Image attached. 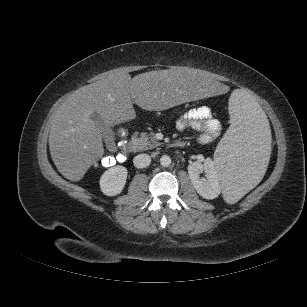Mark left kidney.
<instances>
[{"label": "left kidney", "instance_id": "left-kidney-1", "mask_svg": "<svg viewBox=\"0 0 307 307\" xmlns=\"http://www.w3.org/2000/svg\"><path fill=\"white\" fill-rule=\"evenodd\" d=\"M205 172V177L200 174ZM190 180L197 193L205 199H214L221 192L220 177L214 162L207 158L204 163L195 161L188 166Z\"/></svg>", "mask_w": 307, "mask_h": 307}]
</instances>
